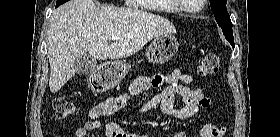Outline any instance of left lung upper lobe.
<instances>
[{
  "instance_id": "left-lung-upper-lobe-1",
  "label": "left lung upper lobe",
  "mask_w": 280,
  "mask_h": 137,
  "mask_svg": "<svg viewBox=\"0 0 280 137\" xmlns=\"http://www.w3.org/2000/svg\"><path fill=\"white\" fill-rule=\"evenodd\" d=\"M227 0H210L212 12L225 38L234 47L233 31L230 16L226 9Z\"/></svg>"
}]
</instances>
